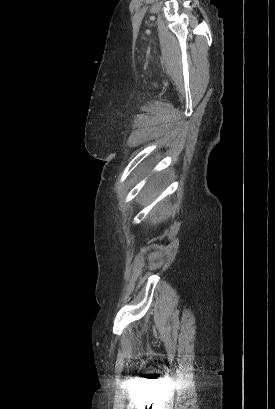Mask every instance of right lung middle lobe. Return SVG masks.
Segmentation results:
<instances>
[{
  "label": "right lung middle lobe",
  "instance_id": "right-lung-middle-lobe-1",
  "mask_svg": "<svg viewBox=\"0 0 275 409\" xmlns=\"http://www.w3.org/2000/svg\"><path fill=\"white\" fill-rule=\"evenodd\" d=\"M147 172L145 173V176L147 178H159V177H167L169 174L167 172H159V171H151L153 168L151 166H146L144 168ZM164 171H168L170 168L168 166H164L162 168Z\"/></svg>",
  "mask_w": 275,
  "mask_h": 409
}]
</instances>
